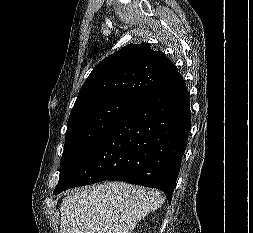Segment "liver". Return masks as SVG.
I'll use <instances>...</instances> for the list:
<instances>
[{"label": "liver", "instance_id": "obj_1", "mask_svg": "<svg viewBox=\"0 0 253 233\" xmlns=\"http://www.w3.org/2000/svg\"><path fill=\"white\" fill-rule=\"evenodd\" d=\"M163 203L158 190L124 182L88 186L63 199L60 233H132Z\"/></svg>", "mask_w": 253, "mask_h": 233}]
</instances>
